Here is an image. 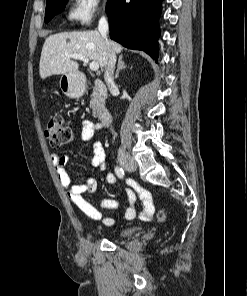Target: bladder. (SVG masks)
Listing matches in <instances>:
<instances>
[{"mask_svg":"<svg viewBox=\"0 0 247 296\" xmlns=\"http://www.w3.org/2000/svg\"><path fill=\"white\" fill-rule=\"evenodd\" d=\"M136 230H137L136 227H126V228H123L122 230H120V232H119L118 235H119L120 237L129 236V235L135 233Z\"/></svg>","mask_w":247,"mask_h":296,"instance_id":"1","label":"bladder"}]
</instances>
